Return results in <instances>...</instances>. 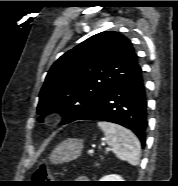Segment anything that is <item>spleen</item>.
<instances>
[{"label":"spleen","mask_w":178,"mask_h":186,"mask_svg":"<svg viewBox=\"0 0 178 186\" xmlns=\"http://www.w3.org/2000/svg\"><path fill=\"white\" fill-rule=\"evenodd\" d=\"M105 134L107 144L117 158L137 166L140 161L141 145L137 137L128 129L110 122H98Z\"/></svg>","instance_id":"obj_1"}]
</instances>
